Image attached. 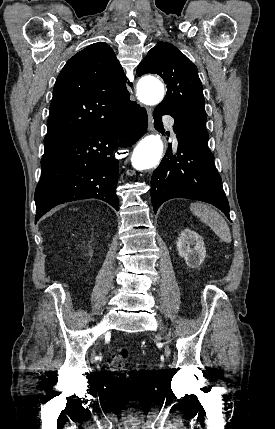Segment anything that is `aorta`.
Masks as SVG:
<instances>
[{
    "instance_id": "1",
    "label": "aorta",
    "mask_w": 275,
    "mask_h": 429,
    "mask_svg": "<svg viewBox=\"0 0 275 429\" xmlns=\"http://www.w3.org/2000/svg\"><path fill=\"white\" fill-rule=\"evenodd\" d=\"M164 86L156 78L147 77L138 83V98L147 105H156L164 97ZM163 142L160 135L151 134L144 137L135 147L132 155V163L138 170H146L155 167L163 153Z\"/></svg>"
}]
</instances>
